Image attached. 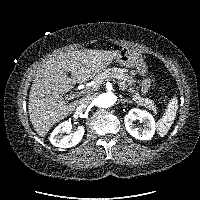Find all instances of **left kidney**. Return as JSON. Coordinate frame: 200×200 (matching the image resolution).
<instances>
[{
  "mask_svg": "<svg viewBox=\"0 0 200 200\" xmlns=\"http://www.w3.org/2000/svg\"><path fill=\"white\" fill-rule=\"evenodd\" d=\"M139 120L142 127H135L133 121ZM127 132L138 140H151L155 133L156 123L153 116L145 110L132 108L124 117Z\"/></svg>",
  "mask_w": 200,
  "mask_h": 200,
  "instance_id": "left-kidney-1",
  "label": "left kidney"
}]
</instances>
